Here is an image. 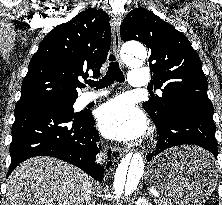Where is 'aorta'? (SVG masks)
<instances>
[{
    "label": "aorta",
    "instance_id": "1",
    "mask_svg": "<svg viewBox=\"0 0 222 205\" xmlns=\"http://www.w3.org/2000/svg\"><path fill=\"white\" fill-rule=\"evenodd\" d=\"M147 57L145 47L137 42L127 43L123 47V61L129 66H140ZM145 161L140 153L127 154L118 165L112 184V196L115 203L132 195L138 188L144 174Z\"/></svg>",
    "mask_w": 222,
    "mask_h": 205
}]
</instances>
